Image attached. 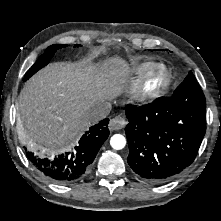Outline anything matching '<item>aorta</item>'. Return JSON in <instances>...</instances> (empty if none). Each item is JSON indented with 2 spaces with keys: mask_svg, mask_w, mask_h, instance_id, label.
Wrapping results in <instances>:
<instances>
[{
  "mask_svg": "<svg viewBox=\"0 0 221 221\" xmlns=\"http://www.w3.org/2000/svg\"><path fill=\"white\" fill-rule=\"evenodd\" d=\"M110 145L113 149L120 150L126 145V139L121 134H115L110 139Z\"/></svg>",
  "mask_w": 221,
  "mask_h": 221,
  "instance_id": "aorta-1",
  "label": "aorta"
}]
</instances>
